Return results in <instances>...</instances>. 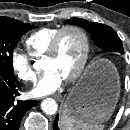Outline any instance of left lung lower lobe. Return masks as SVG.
I'll return each instance as SVG.
<instances>
[{
  "label": "left lung lower lobe",
  "mask_w": 130,
  "mask_h": 130,
  "mask_svg": "<svg viewBox=\"0 0 130 130\" xmlns=\"http://www.w3.org/2000/svg\"><path fill=\"white\" fill-rule=\"evenodd\" d=\"M95 81H96V78L93 75H88L84 79L83 84H82L83 91L90 90L93 87V85L95 84ZM54 130H59V128H58V116L56 117L55 122H54Z\"/></svg>",
  "instance_id": "obj_1"
}]
</instances>
